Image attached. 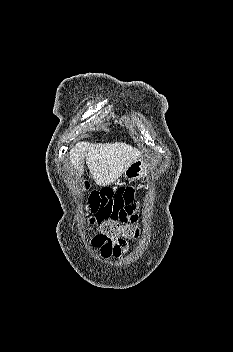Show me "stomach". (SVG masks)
Segmentation results:
<instances>
[{
  "label": "stomach",
  "instance_id": "stomach-1",
  "mask_svg": "<svg viewBox=\"0 0 233 352\" xmlns=\"http://www.w3.org/2000/svg\"><path fill=\"white\" fill-rule=\"evenodd\" d=\"M148 161V155L138 158L125 170V178L128 180H136L146 176L149 173Z\"/></svg>",
  "mask_w": 233,
  "mask_h": 352
}]
</instances>
